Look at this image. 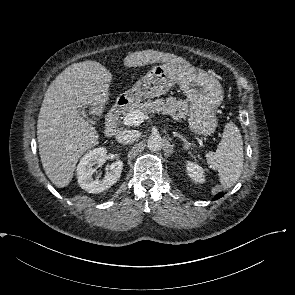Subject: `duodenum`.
I'll use <instances>...</instances> for the list:
<instances>
[{
	"mask_svg": "<svg viewBox=\"0 0 295 295\" xmlns=\"http://www.w3.org/2000/svg\"><path fill=\"white\" fill-rule=\"evenodd\" d=\"M125 100H119L109 111L106 119L105 135L112 137L117 131V123L126 107Z\"/></svg>",
	"mask_w": 295,
	"mask_h": 295,
	"instance_id": "410a0bca",
	"label": "duodenum"
}]
</instances>
